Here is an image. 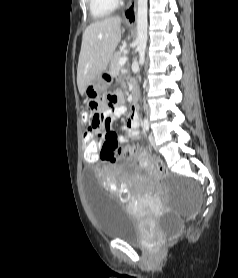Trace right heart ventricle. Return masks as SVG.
Listing matches in <instances>:
<instances>
[{
  "instance_id": "obj_1",
  "label": "right heart ventricle",
  "mask_w": 238,
  "mask_h": 278,
  "mask_svg": "<svg viewBox=\"0 0 238 278\" xmlns=\"http://www.w3.org/2000/svg\"><path fill=\"white\" fill-rule=\"evenodd\" d=\"M89 10L94 19L109 16L117 7V0H88Z\"/></svg>"
}]
</instances>
